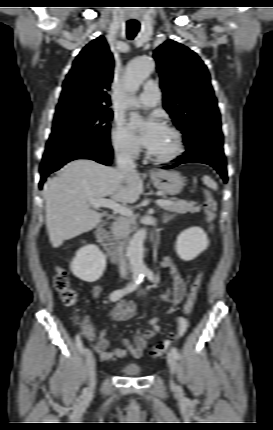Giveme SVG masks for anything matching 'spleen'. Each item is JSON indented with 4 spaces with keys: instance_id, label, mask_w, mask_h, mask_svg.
<instances>
[{
    "instance_id": "1",
    "label": "spleen",
    "mask_w": 273,
    "mask_h": 430,
    "mask_svg": "<svg viewBox=\"0 0 273 430\" xmlns=\"http://www.w3.org/2000/svg\"><path fill=\"white\" fill-rule=\"evenodd\" d=\"M202 180H203L204 184L207 185L208 187H210L211 189H213V190L218 189L217 183L211 177L204 175Z\"/></svg>"
}]
</instances>
